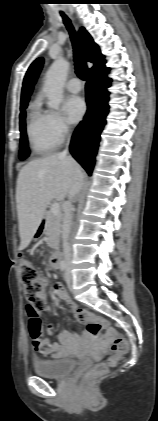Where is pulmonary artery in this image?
I'll return each mask as SVG.
<instances>
[{"label":"pulmonary artery","instance_id":"pulmonary-artery-1","mask_svg":"<svg viewBox=\"0 0 158 421\" xmlns=\"http://www.w3.org/2000/svg\"><path fill=\"white\" fill-rule=\"evenodd\" d=\"M66 88L68 91L72 93H77L81 90L82 85L78 78H71L70 80L67 81Z\"/></svg>","mask_w":158,"mask_h":421}]
</instances>
